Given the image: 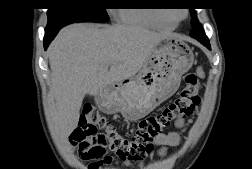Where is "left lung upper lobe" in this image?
I'll use <instances>...</instances> for the list:
<instances>
[{"mask_svg":"<svg viewBox=\"0 0 252 169\" xmlns=\"http://www.w3.org/2000/svg\"><path fill=\"white\" fill-rule=\"evenodd\" d=\"M190 13H191V24H192V30L190 33L194 34L197 31H204V29L202 28V25L199 23L197 19L196 12L194 11V9H190Z\"/></svg>","mask_w":252,"mask_h":169,"instance_id":"5c2ea615","label":"left lung upper lobe"}]
</instances>
